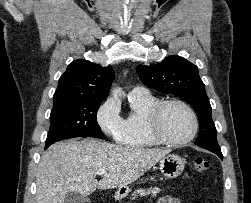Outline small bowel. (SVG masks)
Masks as SVG:
<instances>
[{"label": "small bowel", "mask_w": 251, "mask_h": 203, "mask_svg": "<svg viewBox=\"0 0 251 203\" xmlns=\"http://www.w3.org/2000/svg\"><path fill=\"white\" fill-rule=\"evenodd\" d=\"M157 203H182L178 198L173 196H162Z\"/></svg>", "instance_id": "c3829d8e"}]
</instances>
